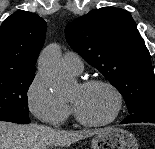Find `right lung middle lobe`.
Wrapping results in <instances>:
<instances>
[{
  "label": "right lung middle lobe",
  "mask_w": 155,
  "mask_h": 149,
  "mask_svg": "<svg viewBox=\"0 0 155 149\" xmlns=\"http://www.w3.org/2000/svg\"><path fill=\"white\" fill-rule=\"evenodd\" d=\"M35 72L0 74V121L30 122L27 91Z\"/></svg>",
  "instance_id": "dd1d6c3e"
}]
</instances>
